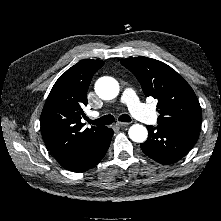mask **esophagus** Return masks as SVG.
I'll return each mask as SVG.
<instances>
[{"instance_id":"1","label":"esophagus","mask_w":221,"mask_h":221,"mask_svg":"<svg viewBox=\"0 0 221 221\" xmlns=\"http://www.w3.org/2000/svg\"><path fill=\"white\" fill-rule=\"evenodd\" d=\"M130 123H127V122H118L116 125L118 126V127H126V126H128Z\"/></svg>"}]
</instances>
